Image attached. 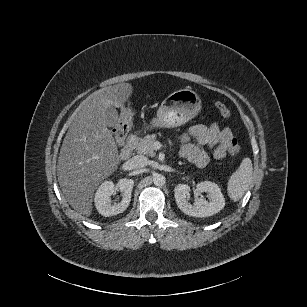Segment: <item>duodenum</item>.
I'll return each instance as SVG.
<instances>
[{
    "label": "duodenum",
    "mask_w": 307,
    "mask_h": 307,
    "mask_svg": "<svg viewBox=\"0 0 307 307\" xmlns=\"http://www.w3.org/2000/svg\"><path fill=\"white\" fill-rule=\"evenodd\" d=\"M136 139H137V135L135 133H132L128 136L124 146L122 147L120 151V157L123 160H127L131 157L135 143H136Z\"/></svg>",
    "instance_id": "obj_1"
}]
</instances>
